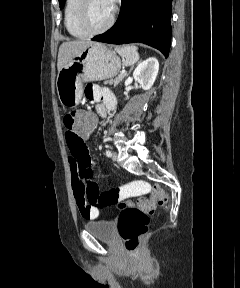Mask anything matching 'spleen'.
<instances>
[{
    "label": "spleen",
    "instance_id": "3e777b00",
    "mask_svg": "<svg viewBox=\"0 0 240 288\" xmlns=\"http://www.w3.org/2000/svg\"><path fill=\"white\" fill-rule=\"evenodd\" d=\"M116 50L122 56L127 65H133L139 60L138 48L136 46H125L117 48Z\"/></svg>",
    "mask_w": 240,
    "mask_h": 288
}]
</instances>
